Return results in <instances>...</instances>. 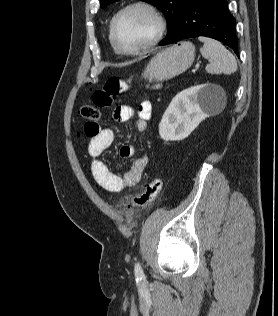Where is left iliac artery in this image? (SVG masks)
Returning <instances> with one entry per match:
<instances>
[{
    "mask_svg": "<svg viewBox=\"0 0 278 316\" xmlns=\"http://www.w3.org/2000/svg\"><path fill=\"white\" fill-rule=\"evenodd\" d=\"M134 270H135L136 277L142 278L144 276L143 269H142L141 264L139 262L135 264Z\"/></svg>",
    "mask_w": 278,
    "mask_h": 316,
    "instance_id": "left-iliac-artery-1",
    "label": "left iliac artery"
}]
</instances>
